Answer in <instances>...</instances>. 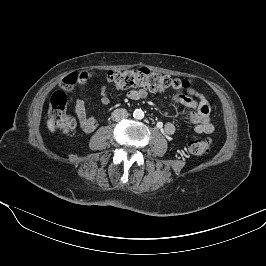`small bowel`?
<instances>
[{"label": "small bowel", "mask_w": 266, "mask_h": 266, "mask_svg": "<svg viewBox=\"0 0 266 266\" xmlns=\"http://www.w3.org/2000/svg\"><path fill=\"white\" fill-rule=\"evenodd\" d=\"M147 96V91L144 88L134 89L128 92V97L132 100H141ZM101 103L106 105L110 99L107 93L106 85L100 88ZM176 113L183 119L194 124L196 133L210 134L215 127L210 119V107L206 98L189 87L185 94L176 95L172 101ZM75 114L79 120L80 129L84 133L93 132L98 126V120L87 113V107L84 99L79 97L75 104ZM164 132L167 135H172L175 132V125L167 122L164 125Z\"/></svg>", "instance_id": "1"}]
</instances>
